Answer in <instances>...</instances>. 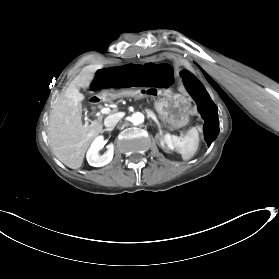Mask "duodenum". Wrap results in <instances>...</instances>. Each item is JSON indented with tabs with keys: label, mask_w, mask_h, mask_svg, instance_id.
<instances>
[{
	"label": "duodenum",
	"mask_w": 279,
	"mask_h": 279,
	"mask_svg": "<svg viewBox=\"0 0 279 279\" xmlns=\"http://www.w3.org/2000/svg\"><path fill=\"white\" fill-rule=\"evenodd\" d=\"M137 95L139 97H147L149 95V92L147 90H139L137 92V94L134 91H128V92L121 91L119 94H115L114 92H110V93H104L101 96H99L97 94H94V95H91L89 97L88 103H89L90 107H92L94 109H97V108H100L102 106V103L104 101L112 100L115 97L134 98V97H137Z\"/></svg>",
	"instance_id": "1"
}]
</instances>
